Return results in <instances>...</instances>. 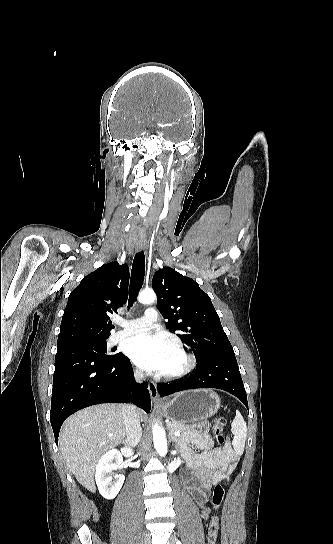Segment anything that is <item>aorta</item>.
I'll list each match as a JSON object with an SVG mask.
<instances>
[{
    "label": "aorta",
    "instance_id": "aorta-1",
    "mask_svg": "<svg viewBox=\"0 0 333 544\" xmlns=\"http://www.w3.org/2000/svg\"><path fill=\"white\" fill-rule=\"evenodd\" d=\"M156 299V294L153 290L145 289L139 296L138 300L140 303L149 304L154 302ZM154 447L160 456H165L167 454V440L164 430L158 425L155 424L152 428Z\"/></svg>",
    "mask_w": 333,
    "mask_h": 544
}]
</instances>
